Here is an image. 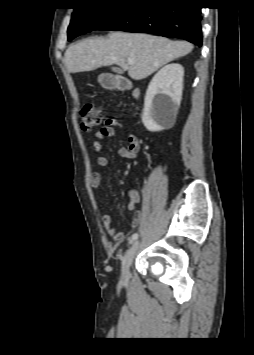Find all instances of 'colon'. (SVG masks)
<instances>
[{
    "mask_svg": "<svg viewBox=\"0 0 254 355\" xmlns=\"http://www.w3.org/2000/svg\"><path fill=\"white\" fill-rule=\"evenodd\" d=\"M103 108L95 102L86 103L80 112V125L83 130L90 131L102 122Z\"/></svg>",
    "mask_w": 254,
    "mask_h": 355,
    "instance_id": "1",
    "label": "colon"
}]
</instances>
